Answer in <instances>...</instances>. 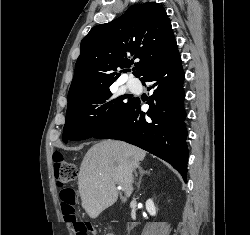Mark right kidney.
I'll list each match as a JSON object with an SVG mask.
<instances>
[{"label": "right kidney", "mask_w": 250, "mask_h": 235, "mask_svg": "<svg viewBox=\"0 0 250 235\" xmlns=\"http://www.w3.org/2000/svg\"><path fill=\"white\" fill-rule=\"evenodd\" d=\"M146 210L151 216L156 215V208L152 199L146 201Z\"/></svg>", "instance_id": "1"}]
</instances>
